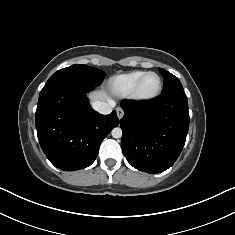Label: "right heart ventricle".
Masks as SVG:
<instances>
[{"mask_svg":"<svg viewBox=\"0 0 235 235\" xmlns=\"http://www.w3.org/2000/svg\"><path fill=\"white\" fill-rule=\"evenodd\" d=\"M144 73L145 71H133L115 76L110 81V88L118 96H130L135 84Z\"/></svg>","mask_w":235,"mask_h":235,"instance_id":"obj_1","label":"right heart ventricle"}]
</instances>
